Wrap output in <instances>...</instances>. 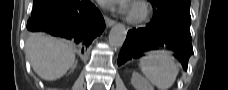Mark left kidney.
<instances>
[{"instance_id": "obj_1", "label": "left kidney", "mask_w": 228, "mask_h": 90, "mask_svg": "<svg viewBox=\"0 0 228 90\" xmlns=\"http://www.w3.org/2000/svg\"><path fill=\"white\" fill-rule=\"evenodd\" d=\"M131 83L135 90H154L153 86L138 72H133Z\"/></svg>"}]
</instances>
